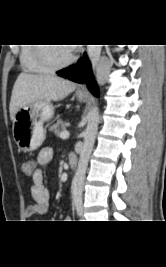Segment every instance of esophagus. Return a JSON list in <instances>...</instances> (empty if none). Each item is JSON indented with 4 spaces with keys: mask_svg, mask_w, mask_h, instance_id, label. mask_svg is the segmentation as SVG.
<instances>
[{
    "mask_svg": "<svg viewBox=\"0 0 166 267\" xmlns=\"http://www.w3.org/2000/svg\"><path fill=\"white\" fill-rule=\"evenodd\" d=\"M79 90H80V91H85V87H84V86H80V87H79Z\"/></svg>",
    "mask_w": 166,
    "mask_h": 267,
    "instance_id": "34e87169",
    "label": "esophagus"
}]
</instances>
